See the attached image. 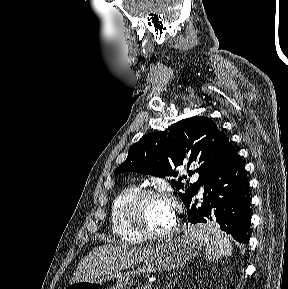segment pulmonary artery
<instances>
[{"mask_svg": "<svg viewBox=\"0 0 288 289\" xmlns=\"http://www.w3.org/2000/svg\"><path fill=\"white\" fill-rule=\"evenodd\" d=\"M193 179L196 181V180L198 179V177H197V176H194V177H193ZM203 189H204V187H203V186H201V187H200V191L202 192V191H203Z\"/></svg>", "mask_w": 288, "mask_h": 289, "instance_id": "e3ab8cb5", "label": "pulmonary artery"}]
</instances>
